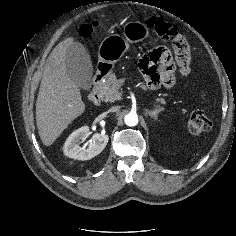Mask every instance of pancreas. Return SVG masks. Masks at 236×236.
<instances>
[{
    "mask_svg": "<svg viewBox=\"0 0 236 236\" xmlns=\"http://www.w3.org/2000/svg\"><path fill=\"white\" fill-rule=\"evenodd\" d=\"M121 86L122 82L117 79L115 73H109L99 87V94L106 102H114L122 97ZM157 102L162 105L166 104L164 98H158Z\"/></svg>",
    "mask_w": 236,
    "mask_h": 236,
    "instance_id": "cf45deb5",
    "label": "pancreas"
}]
</instances>
